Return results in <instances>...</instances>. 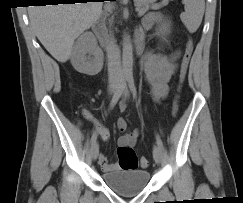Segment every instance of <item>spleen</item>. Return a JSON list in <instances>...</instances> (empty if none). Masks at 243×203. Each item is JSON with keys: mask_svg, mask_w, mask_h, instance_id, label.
Segmentation results:
<instances>
[{"mask_svg": "<svg viewBox=\"0 0 243 203\" xmlns=\"http://www.w3.org/2000/svg\"><path fill=\"white\" fill-rule=\"evenodd\" d=\"M185 5V12L181 14L180 18L187 30L190 33H194L199 28L204 11V0H183Z\"/></svg>", "mask_w": 243, "mask_h": 203, "instance_id": "obj_1", "label": "spleen"}]
</instances>
